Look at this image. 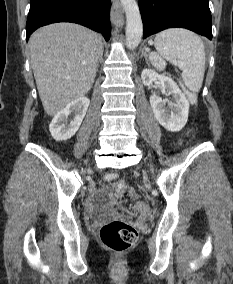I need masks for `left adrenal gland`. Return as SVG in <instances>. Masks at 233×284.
I'll return each instance as SVG.
<instances>
[{
	"mask_svg": "<svg viewBox=\"0 0 233 284\" xmlns=\"http://www.w3.org/2000/svg\"><path fill=\"white\" fill-rule=\"evenodd\" d=\"M142 56H144L146 61L148 62V55L144 50H142Z\"/></svg>",
	"mask_w": 233,
	"mask_h": 284,
	"instance_id": "a2214340",
	"label": "left adrenal gland"
}]
</instances>
